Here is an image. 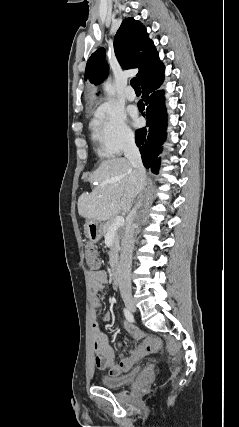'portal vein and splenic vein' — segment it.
<instances>
[{
    "mask_svg": "<svg viewBox=\"0 0 239 427\" xmlns=\"http://www.w3.org/2000/svg\"><path fill=\"white\" fill-rule=\"evenodd\" d=\"M125 223V220L122 216H117L115 218L114 223L110 226V231H116L118 228H120L121 226H123Z\"/></svg>",
    "mask_w": 239,
    "mask_h": 427,
    "instance_id": "1",
    "label": "portal vein and splenic vein"
}]
</instances>
